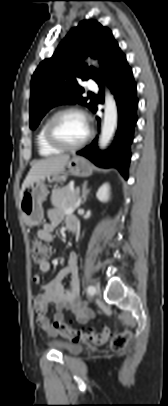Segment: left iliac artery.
I'll use <instances>...</instances> for the list:
<instances>
[{
	"mask_svg": "<svg viewBox=\"0 0 168 406\" xmlns=\"http://www.w3.org/2000/svg\"><path fill=\"white\" fill-rule=\"evenodd\" d=\"M87 293L89 295H94L95 294V288L93 286H88L87 287Z\"/></svg>",
	"mask_w": 168,
	"mask_h": 406,
	"instance_id": "left-iliac-artery-1",
	"label": "left iliac artery"
}]
</instances>
